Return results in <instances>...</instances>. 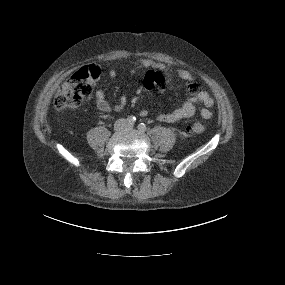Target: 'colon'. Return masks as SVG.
<instances>
[{"mask_svg":"<svg viewBox=\"0 0 285 285\" xmlns=\"http://www.w3.org/2000/svg\"><path fill=\"white\" fill-rule=\"evenodd\" d=\"M99 75L100 70L96 65H85L78 69L58 90L54 98L55 108L65 110L81 105L90 95L93 83ZM187 131L191 134H199L204 131V126L195 122L187 127Z\"/></svg>","mask_w":285,"mask_h":285,"instance_id":"5ec220e1","label":"colon"}]
</instances>
